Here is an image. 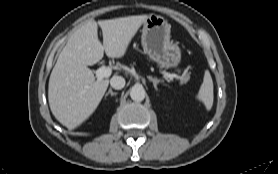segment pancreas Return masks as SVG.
I'll list each match as a JSON object with an SVG mask.
<instances>
[{"instance_id": "obj_1", "label": "pancreas", "mask_w": 278, "mask_h": 174, "mask_svg": "<svg viewBox=\"0 0 278 174\" xmlns=\"http://www.w3.org/2000/svg\"><path fill=\"white\" fill-rule=\"evenodd\" d=\"M188 79V77L183 78V82H186Z\"/></svg>"}]
</instances>
